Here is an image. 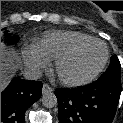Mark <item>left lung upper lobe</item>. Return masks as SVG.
<instances>
[{"instance_id": "1", "label": "left lung upper lobe", "mask_w": 123, "mask_h": 123, "mask_svg": "<svg viewBox=\"0 0 123 123\" xmlns=\"http://www.w3.org/2000/svg\"><path fill=\"white\" fill-rule=\"evenodd\" d=\"M120 70L121 65L116 55L111 57L110 65L108 69L99 77V81H108L114 83H120Z\"/></svg>"}]
</instances>
